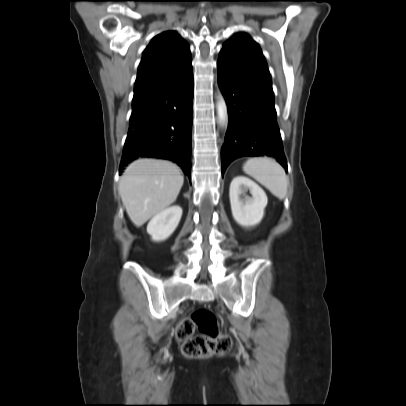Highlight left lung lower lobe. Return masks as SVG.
Masks as SVG:
<instances>
[{"label": "left lung lower lobe", "mask_w": 406, "mask_h": 406, "mask_svg": "<svg viewBox=\"0 0 406 406\" xmlns=\"http://www.w3.org/2000/svg\"><path fill=\"white\" fill-rule=\"evenodd\" d=\"M217 71L229 113L221 153L222 174L233 160L243 156H271L287 170L271 77L224 54L219 55Z\"/></svg>", "instance_id": "obj_1"}]
</instances>
